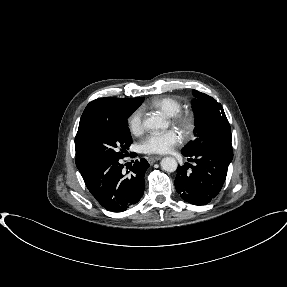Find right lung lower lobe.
Here are the masks:
<instances>
[{
    "label": "right lung lower lobe",
    "mask_w": 287,
    "mask_h": 287,
    "mask_svg": "<svg viewBox=\"0 0 287 287\" xmlns=\"http://www.w3.org/2000/svg\"><path fill=\"white\" fill-rule=\"evenodd\" d=\"M148 167L146 159L136 160L130 167V174L126 176L122 173L123 164L120 159H113L92 166L82 177L102 207L112 212H122L141 199Z\"/></svg>",
    "instance_id": "right-lung-lower-lobe-1"
}]
</instances>
